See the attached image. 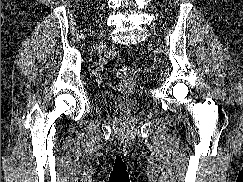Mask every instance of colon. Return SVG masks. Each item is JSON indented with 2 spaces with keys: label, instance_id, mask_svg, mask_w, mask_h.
Here are the masks:
<instances>
[{
  "label": "colon",
  "instance_id": "5ec220e1",
  "mask_svg": "<svg viewBox=\"0 0 243 182\" xmlns=\"http://www.w3.org/2000/svg\"><path fill=\"white\" fill-rule=\"evenodd\" d=\"M139 69L133 66H125L116 70V75L124 80L130 81L135 79L139 75Z\"/></svg>",
  "mask_w": 243,
  "mask_h": 182
}]
</instances>
